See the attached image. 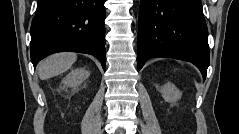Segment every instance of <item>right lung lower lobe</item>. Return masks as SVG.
I'll return each instance as SVG.
<instances>
[{
	"instance_id": "98d812e1",
	"label": "right lung lower lobe",
	"mask_w": 239,
	"mask_h": 134,
	"mask_svg": "<svg viewBox=\"0 0 239 134\" xmlns=\"http://www.w3.org/2000/svg\"><path fill=\"white\" fill-rule=\"evenodd\" d=\"M105 0H38L31 25V61L62 51L96 56L105 70Z\"/></svg>"
}]
</instances>
